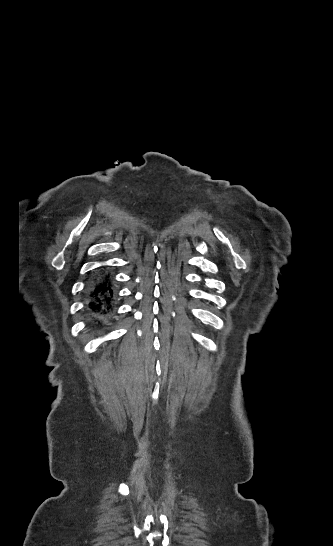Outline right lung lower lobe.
Segmentation results:
<instances>
[{
    "mask_svg": "<svg viewBox=\"0 0 333 546\" xmlns=\"http://www.w3.org/2000/svg\"><path fill=\"white\" fill-rule=\"evenodd\" d=\"M115 298L112 279L102 269L88 284L86 312L90 327L103 329L108 326L113 317Z\"/></svg>",
    "mask_w": 333,
    "mask_h": 546,
    "instance_id": "right-lung-lower-lobe-1",
    "label": "right lung lower lobe"
}]
</instances>
